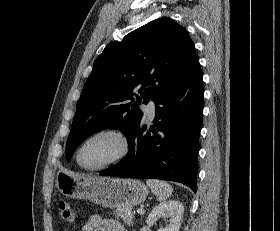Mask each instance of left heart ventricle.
Wrapping results in <instances>:
<instances>
[{"label":"left heart ventricle","instance_id":"obj_1","mask_svg":"<svg viewBox=\"0 0 280 231\" xmlns=\"http://www.w3.org/2000/svg\"><path fill=\"white\" fill-rule=\"evenodd\" d=\"M122 151V142L114 134H101L90 139L80 154V161L87 168L103 166Z\"/></svg>","mask_w":280,"mask_h":231}]
</instances>
